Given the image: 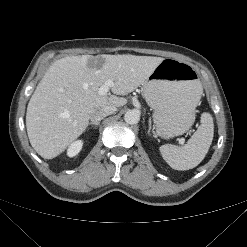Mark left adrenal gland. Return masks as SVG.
I'll return each instance as SVG.
<instances>
[{"mask_svg":"<svg viewBox=\"0 0 247 247\" xmlns=\"http://www.w3.org/2000/svg\"><path fill=\"white\" fill-rule=\"evenodd\" d=\"M150 130H151V119H149L148 134H150Z\"/></svg>","mask_w":247,"mask_h":247,"instance_id":"left-adrenal-gland-1","label":"left adrenal gland"}]
</instances>
